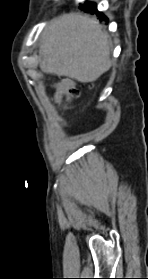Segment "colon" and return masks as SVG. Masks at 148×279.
<instances>
[{"label":"colon","instance_id":"1","mask_svg":"<svg viewBox=\"0 0 148 279\" xmlns=\"http://www.w3.org/2000/svg\"><path fill=\"white\" fill-rule=\"evenodd\" d=\"M52 97L55 100H63L69 96H77L76 82L70 78H63L51 86Z\"/></svg>","mask_w":148,"mask_h":279}]
</instances>
